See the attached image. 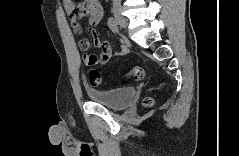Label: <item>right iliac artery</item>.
Listing matches in <instances>:
<instances>
[{"instance_id": "82829eb1", "label": "right iliac artery", "mask_w": 239, "mask_h": 156, "mask_svg": "<svg viewBox=\"0 0 239 156\" xmlns=\"http://www.w3.org/2000/svg\"><path fill=\"white\" fill-rule=\"evenodd\" d=\"M108 25L113 32H118V23L113 17L108 19Z\"/></svg>"}]
</instances>
